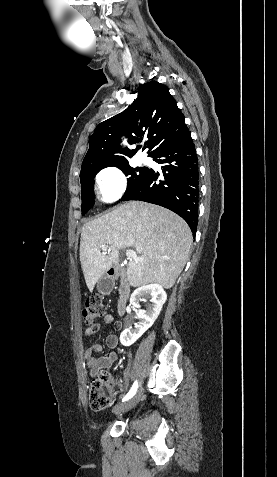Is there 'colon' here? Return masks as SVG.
Segmentation results:
<instances>
[{
  "instance_id": "obj_1",
  "label": "colon",
  "mask_w": 277,
  "mask_h": 477,
  "mask_svg": "<svg viewBox=\"0 0 277 477\" xmlns=\"http://www.w3.org/2000/svg\"><path fill=\"white\" fill-rule=\"evenodd\" d=\"M105 313V308L100 297L91 296L86 302L82 312L83 321L92 326L96 320ZM114 402V394L110 385L109 375L101 373L94 378L89 387V405L94 411H102Z\"/></svg>"
}]
</instances>
